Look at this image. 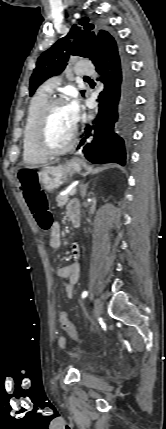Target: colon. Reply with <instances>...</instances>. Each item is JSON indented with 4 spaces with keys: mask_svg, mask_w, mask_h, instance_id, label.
I'll return each mask as SVG.
<instances>
[{
    "mask_svg": "<svg viewBox=\"0 0 166 429\" xmlns=\"http://www.w3.org/2000/svg\"><path fill=\"white\" fill-rule=\"evenodd\" d=\"M17 179L23 197L34 215L37 224L43 230H49L52 227L53 219L48 208L46 195L39 185L38 170L34 167H25L18 172ZM60 324L71 338L76 341H82L78 331L65 313L61 314Z\"/></svg>",
    "mask_w": 166,
    "mask_h": 429,
    "instance_id": "obj_1",
    "label": "colon"
}]
</instances>
